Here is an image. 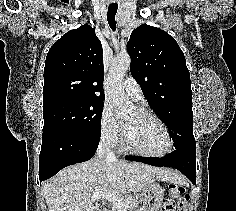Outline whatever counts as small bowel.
<instances>
[{
	"instance_id": "obj_1",
	"label": "small bowel",
	"mask_w": 236,
	"mask_h": 211,
	"mask_svg": "<svg viewBox=\"0 0 236 211\" xmlns=\"http://www.w3.org/2000/svg\"><path fill=\"white\" fill-rule=\"evenodd\" d=\"M180 211H186L184 208H182Z\"/></svg>"
}]
</instances>
